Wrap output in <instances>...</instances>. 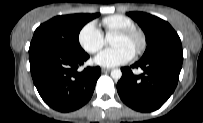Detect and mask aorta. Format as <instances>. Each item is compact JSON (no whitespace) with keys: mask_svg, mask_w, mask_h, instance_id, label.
Wrapping results in <instances>:
<instances>
[{"mask_svg":"<svg viewBox=\"0 0 203 123\" xmlns=\"http://www.w3.org/2000/svg\"><path fill=\"white\" fill-rule=\"evenodd\" d=\"M122 76V72L120 69H114L111 71V77L114 79V80H119Z\"/></svg>","mask_w":203,"mask_h":123,"instance_id":"aorta-1","label":"aorta"}]
</instances>
